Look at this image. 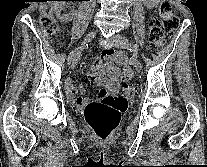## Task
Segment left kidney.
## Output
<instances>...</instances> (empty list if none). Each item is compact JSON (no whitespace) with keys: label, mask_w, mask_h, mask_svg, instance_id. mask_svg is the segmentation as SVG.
Listing matches in <instances>:
<instances>
[{"label":"left kidney","mask_w":207,"mask_h":167,"mask_svg":"<svg viewBox=\"0 0 207 167\" xmlns=\"http://www.w3.org/2000/svg\"><path fill=\"white\" fill-rule=\"evenodd\" d=\"M144 4L148 7H155L158 5V0H143Z\"/></svg>","instance_id":"obj_1"}]
</instances>
